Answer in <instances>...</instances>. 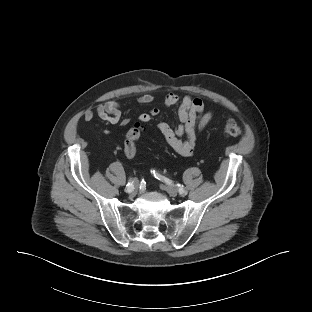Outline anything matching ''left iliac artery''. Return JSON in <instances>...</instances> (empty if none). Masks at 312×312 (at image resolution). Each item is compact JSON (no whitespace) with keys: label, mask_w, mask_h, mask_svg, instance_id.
Wrapping results in <instances>:
<instances>
[{"label":"left iliac artery","mask_w":312,"mask_h":312,"mask_svg":"<svg viewBox=\"0 0 312 312\" xmlns=\"http://www.w3.org/2000/svg\"><path fill=\"white\" fill-rule=\"evenodd\" d=\"M179 187V192L180 194H187V192H185V189L183 188V186H181L180 184L177 185Z\"/></svg>","instance_id":"obj_1"}]
</instances>
